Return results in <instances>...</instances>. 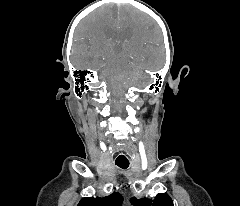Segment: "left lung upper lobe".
Instances as JSON below:
<instances>
[{
	"instance_id": "1",
	"label": "left lung upper lobe",
	"mask_w": 240,
	"mask_h": 206,
	"mask_svg": "<svg viewBox=\"0 0 240 206\" xmlns=\"http://www.w3.org/2000/svg\"><path fill=\"white\" fill-rule=\"evenodd\" d=\"M131 203L134 206H173V201L166 193H159L155 199L142 198L137 199L133 197Z\"/></svg>"
}]
</instances>
